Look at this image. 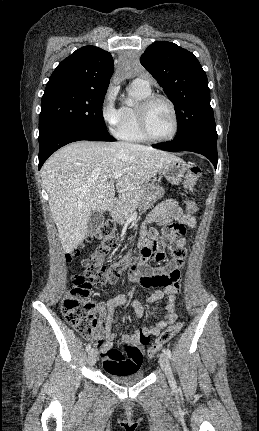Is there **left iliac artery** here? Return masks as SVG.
Wrapping results in <instances>:
<instances>
[{
	"label": "left iliac artery",
	"mask_w": 259,
	"mask_h": 431,
	"mask_svg": "<svg viewBox=\"0 0 259 431\" xmlns=\"http://www.w3.org/2000/svg\"><path fill=\"white\" fill-rule=\"evenodd\" d=\"M164 352H165V353L167 354V356L171 359L172 354H171L170 349L166 348V349L164 350Z\"/></svg>",
	"instance_id": "1"
}]
</instances>
